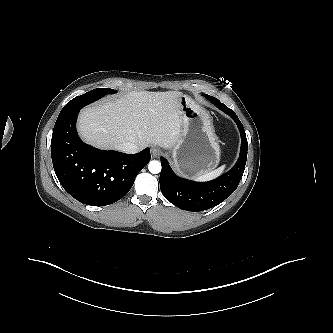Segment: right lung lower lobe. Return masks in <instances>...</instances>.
I'll return each mask as SVG.
<instances>
[{
    "label": "right lung lower lobe",
    "mask_w": 333,
    "mask_h": 333,
    "mask_svg": "<svg viewBox=\"0 0 333 333\" xmlns=\"http://www.w3.org/2000/svg\"><path fill=\"white\" fill-rule=\"evenodd\" d=\"M80 110L62 109L55 123L51 155L63 188L81 203L102 206L124 197L151 159L146 148L137 154L104 151L83 143L76 131Z\"/></svg>",
    "instance_id": "obj_1"
}]
</instances>
